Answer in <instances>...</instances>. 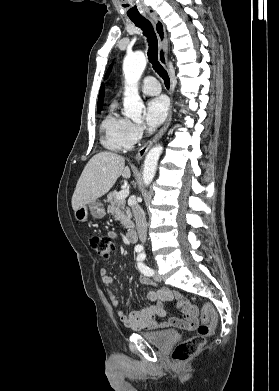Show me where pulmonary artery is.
<instances>
[{
  "label": "pulmonary artery",
  "instance_id": "obj_1",
  "mask_svg": "<svg viewBox=\"0 0 279 391\" xmlns=\"http://www.w3.org/2000/svg\"><path fill=\"white\" fill-rule=\"evenodd\" d=\"M141 89L144 93L150 94V95H156L159 94L161 91L160 84L156 80V78L152 76H148L143 80Z\"/></svg>",
  "mask_w": 279,
  "mask_h": 391
}]
</instances>
